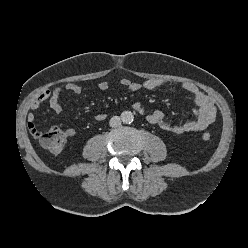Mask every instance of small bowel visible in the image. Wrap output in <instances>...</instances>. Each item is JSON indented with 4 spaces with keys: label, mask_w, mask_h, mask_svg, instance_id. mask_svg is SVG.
Instances as JSON below:
<instances>
[{
    "label": "small bowel",
    "mask_w": 248,
    "mask_h": 248,
    "mask_svg": "<svg viewBox=\"0 0 248 248\" xmlns=\"http://www.w3.org/2000/svg\"><path fill=\"white\" fill-rule=\"evenodd\" d=\"M120 85L123 88H126L133 92L139 91L141 89L155 91L161 87L166 86L167 82L162 79H148L143 82H139L124 77L120 80ZM179 87L187 93L191 94L193 97L195 103V107L193 109V113L195 116L194 120L184 123H171L165 118V115L162 111L155 110L152 112H148L140 102L133 103L132 108L137 113L144 115L149 123L157 125L162 131L171 134L179 135L206 129L216 119L217 109L213 99L193 83L181 82L179 83ZM98 88L101 91H106L109 88V84L106 81H102L98 84ZM64 90H67L76 95L82 93L81 86L76 83L69 82L64 85L57 86L52 90H45L40 93L30 103V109L36 110L43 102L48 101L50 108L56 114H61L63 112V108L60 103V99ZM94 119L96 121H103L106 119V115L104 113H98L94 116ZM27 126L31 135L34 138L39 139L41 132L36 127L35 115L33 113H29L27 116ZM66 134L68 136H73L75 134V131L72 128H68L66 130Z\"/></svg>",
    "instance_id": "1"
}]
</instances>
